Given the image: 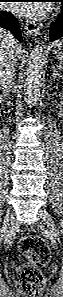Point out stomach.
I'll return each mask as SVG.
<instances>
[{
  "label": "stomach",
  "instance_id": "1",
  "mask_svg": "<svg viewBox=\"0 0 63 297\" xmlns=\"http://www.w3.org/2000/svg\"><path fill=\"white\" fill-rule=\"evenodd\" d=\"M54 58L60 62L63 61V41H58L54 44L52 51Z\"/></svg>",
  "mask_w": 63,
  "mask_h": 297
}]
</instances>
